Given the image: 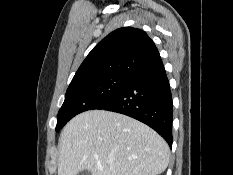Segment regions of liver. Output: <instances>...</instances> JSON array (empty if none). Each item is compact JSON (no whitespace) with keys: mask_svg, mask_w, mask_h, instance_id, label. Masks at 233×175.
<instances>
[{"mask_svg":"<svg viewBox=\"0 0 233 175\" xmlns=\"http://www.w3.org/2000/svg\"><path fill=\"white\" fill-rule=\"evenodd\" d=\"M58 175H159L169 163V146L144 123L129 116L90 110L72 118L59 138Z\"/></svg>","mask_w":233,"mask_h":175,"instance_id":"6515ba94","label":"liver"}]
</instances>
